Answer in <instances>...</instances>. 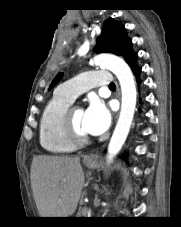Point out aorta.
<instances>
[{
  "label": "aorta",
  "mask_w": 181,
  "mask_h": 227,
  "mask_svg": "<svg viewBox=\"0 0 181 227\" xmlns=\"http://www.w3.org/2000/svg\"><path fill=\"white\" fill-rule=\"evenodd\" d=\"M92 64L103 66L112 71L119 80L122 93L120 115L107 149L109 161L118 154L128 136L136 108V84L134 76L126 62L111 54L94 57Z\"/></svg>",
  "instance_id": "1"
}]
</instances>
